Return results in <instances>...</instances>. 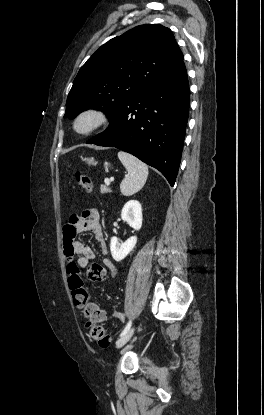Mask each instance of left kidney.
<instances>
[{"mask_svg":"<svg viewBox=\"0 0 264 415\" xmlns=\"http://www.w3.org/2000/svg\"><path fill=\"white\" fill-rule=\"evenodd\" d=\"M121 218L136 231L142 227V207L137 200H129L122 208ZM137 237L132 236L127 241L121 242L117 237L110 240V251L113 259L117 262L123 260L135 247Z\"/></svg>","mask_w":264,"mask_h":415,"instance_id":"left-kidney-1","label":"left kidney"}]
</instances>
